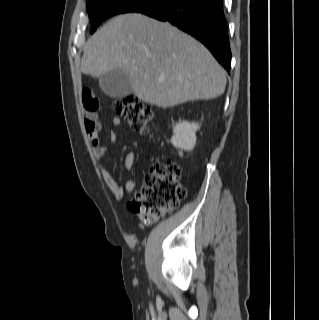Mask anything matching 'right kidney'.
Wrapping results in <instances>:
<instances>
[{"mask_svg":"<svg viewBox=\"0 0 319 320\" xmlns=\"http://www.w3.org/2000/svg\"><path fill=\"white\" fill-rule=\"evenodd\" d=\"M200 128L199 124L187 121L179 122L173 128V136L171 143L175 148L180 149L179 154L182 156V151H190L196 144V131Z\"/></svg>","mask_w":319,"mask_h":320,"instance_id":"right-kidney-1","label":"right kidney"}]
</instances>
